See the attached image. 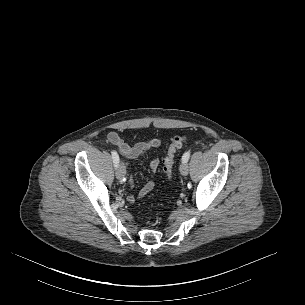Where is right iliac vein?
Segmentation results:
<instances>
[{"mask_svg":"<svg viewBox=\"0 0 305 305\" xmlns=\"http://www.w3.org/2000/svg\"><path fill=\"white\" fill-rule=\"evenodd\" d=\"M125 174H126V168H125V165L121 162L118 166H117V169H116V177L119 179V180H123L124 177H125Z\"/></svg>","mask_w":305,"mask_h":305,"instance_id":"63e3f726","label":"right iliac vein"}]
</instances>
